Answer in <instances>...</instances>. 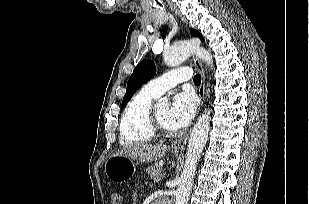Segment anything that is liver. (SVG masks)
I'll list each match as a JSON object with an SVG mask.
<instances>
[{"instance_id":"6515ba94","label":"liver","mask_w":309,"mask_h":204,"mask_svg":"<svg viewBox=\"0 0 309 204\" xmlns=\"http://www.w3.org/2000/svg\"><path fill=\"white\" fill-rule=\"evenodd\" d=\"M166 151V145H134L125 147L113 155L126 156L135 161L149 163L161 159L165 155Z\"/></svg>"}]
</instances>
